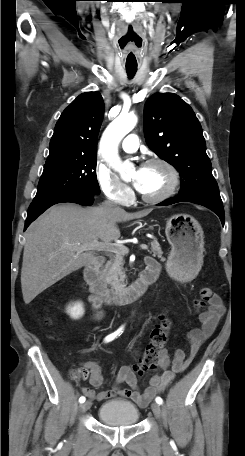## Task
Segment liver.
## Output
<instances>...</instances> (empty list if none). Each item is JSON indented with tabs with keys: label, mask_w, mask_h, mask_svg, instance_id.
Listing matches in <instances>:
<instances>
[{
	"label": "liver",
	"mask_w": 245,
	"mask_h": 456,
	"mask_svg": "<svg viewBox=\"0 0 245 456\" xmlns=\"http://www.w3.org/2000/svg\"><path fill=\"white\" fill-rule=\"evenodd\" d=\"M151 211L128 213L119 207L74 204L48 209L26 231L21 269L25 304L95 258L92 251L76 244L87 246L98 239L111 243L120 237L116 223L145 217Z\"/></svg>",
	"instance_id": "6515ba94"
}]
</instances>
